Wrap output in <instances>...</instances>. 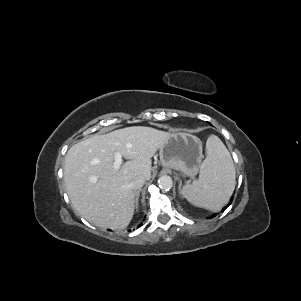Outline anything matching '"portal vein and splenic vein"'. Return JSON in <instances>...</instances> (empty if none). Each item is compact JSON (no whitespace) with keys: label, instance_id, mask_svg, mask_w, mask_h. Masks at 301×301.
Here are the masks:
<instances>
[{"label":"portal vein and splenic vein","instance_id":"1","mask_svg":"<svg viewBox=\"0 0 301 301\" xmlns=\"http://www.w3.org/2000/svg\"><path fill=\"white\" fill-rule=\"evenodd\" d=\"M122 164V155L119 152H116L114 155V168L118 170Z\"/></svg>","mask_w":301,"mask_h":301}]
</instances>
